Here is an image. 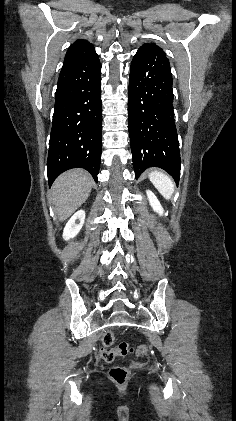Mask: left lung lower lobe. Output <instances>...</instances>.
I'll use <instances>...</instances> for the list:
<instances>
[{"mask_svg":"<svg viewBox=\"0 0 236 421\" xmlns=\"http://www.w3.org/2000/svg\"><path fill=\"white\" fill-rule=\"evenodd\" d=\"M170 64L154 44L142 45L130 67L128 124L135 178L159 167L179 181L181 159L174 123Z\"/></svg>","mask_w":236,"mask_h":421,"instance_id":"left-lung-lower-lobe-1","label":"left lung lower lobe"}]
</instances>
